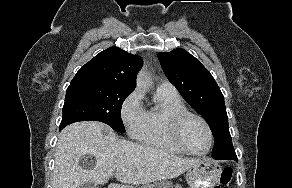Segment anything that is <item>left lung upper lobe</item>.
Returning a JSON list of instances; mask_svg holds the SVG:
<instances>
[{"instance_id":"5c2ea615","label":"left lung upper lobe","mask_w":292,"mask_h":188,"mask_svg":"<svg viewBox=\"0 0 292 188\" xmlns=\"http://www.w3.org/2000/svg\"><path fill=\"white\" fill-rule=\"evenodd\" d=\"M158 58L169 81L209 124L214 135L212 157L224 159L235 153L224 97L210 72L182 48L160 52Z\"/></svg>"}]
</instances>
